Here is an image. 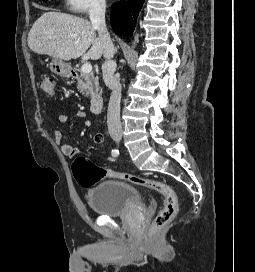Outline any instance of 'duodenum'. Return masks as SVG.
Listing matches in <instances>:
<instances>
[{"label": "duodenum", "instance_id": "410a0bca", "mask_svg": "<svg viewBox=\"0 0 255 272\" xmlns=\"http://www.w3.org/2000/svg\"><path fill=\"white\" fill-rule=\"evenodd\" d=\"M74 76H76V74H73ZM103 106V99L102 97L98 96V95H94L91 97L90 100V108H91V112L97 114L101 111Z\"/></svg>", "mask_w": 255, "mask_h": 272}]
</instances>
